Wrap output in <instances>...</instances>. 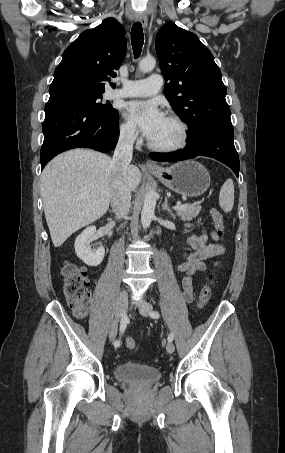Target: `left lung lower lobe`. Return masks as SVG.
Returning <instances> with one entry per match:
<instances>
[{
    "label": "left lung lower lobe",
    "mask_w": 285,
    "mask_h": 453,
    "mask_svg": "<svg viewBox=\"0 0 285 453\" xmlns=\"http://www.w3.org/2000/svg\"><path fill=\"white\" fill-rule=\"evenodd\" d=\"M234 131L231 123L208 122L189 129L186 147L172 153H150L156 161L174 162L207 156L226 164L238 176L239 157L235 149Z\"/></svg>",
    "instance_id": "left-lung-lower-lobe-1"
}]
</instances>
